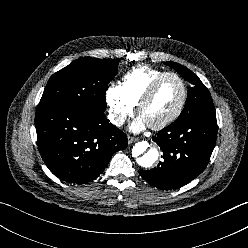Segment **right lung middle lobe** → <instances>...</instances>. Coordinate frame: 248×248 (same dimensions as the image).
I'll return each instance as SVG.
<instances>
[{"label": "right lung middle lobe", "instance_id": "obj_1", "mask_svg": "<svg viewBox=\"0 0 248 248\" xmlns=\"http://www.w3.org/2000/svg\"><path fill=\"white\" fill-rule=\"evenodd\" d=\"M118 61L81 57L52 75L39 105L61 104L104 113L108 83L118 73Z\"/></svg>", "mask_w": 248, "mask_h": 248}]
</instances>
